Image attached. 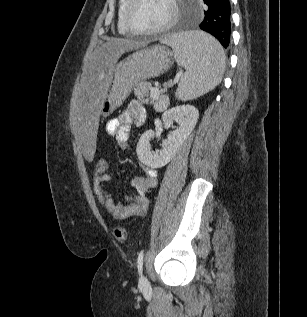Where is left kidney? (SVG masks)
<instances>
[{"label":"left kidney","instance_id":"1","mask_svg":"<svg viewBox=\"0 0 307 317\" xmlns=\"http://www.w3.org/2000/svg\"><path fill=\"white\" fill-rule=\"evenodd\" d=\"M198 118L199 111L191 105H180L164 111L162 114L164 126L170 127L173 122L178 126L167 136V139L163 140L161 149L156 151L151 150L149 143L154 137V131L144 132L136 148L140 162L151 168L165 166L193 131Z\"/></svg>","mask_w":307,"mask_h":317}]
</instances>
